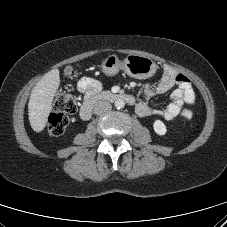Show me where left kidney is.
Segmentation results:
<instances>
[{"label":"left kidney","instance_id":"5707ae66","mask_svg":"<svg viewBox=\"0 0 227 227\" xmlns=\"http://www.w3.org/2000/svg\"><path fill=\"white\" fill-rule=\"evenodd\" d=\"M153 128H154V131L161 136L165 135L167 132L166 126L164 122L161 120H155L153 123Z\"/></svg>","mask_w":227,"mask_h":227}]
</instances>
